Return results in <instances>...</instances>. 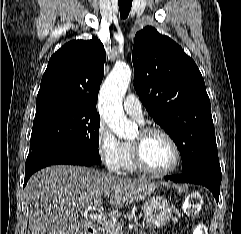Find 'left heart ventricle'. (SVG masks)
I'll use <instances>...</instances> for the list:
<instances>
[{"mask_svg": "<svg viewBox=\"0 0 241 234\" xmlns=\"http://www.w3.org/2000/svg\"><path fill=\"white\" fill-rule=\"evenodd\" d=\"M141 140L140 132L132 142ZM143 157L147 165L155 170L169 168L175 159V152L171 143L160 134L148 136L143 141Z\"/></svg>", "mask_w": 241, "mask_h": 234, "instance_id": "b2bd125f", "label": "left heart ventricle"}]
</instances>
